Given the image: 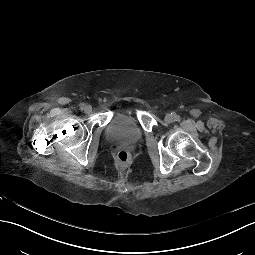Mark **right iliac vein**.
<instances>
[{"label": "right iliac vein", "instance_id": "obj_1", "mask_svg": "<svg viewBox=\"0 0 255 255\" xmlns=\"http://www.w3.org/2000/svg\"><path fill=\"white\" fill-rule=\"evenodd\" d=\"M84 112L86 114H89L92 112V107L90 105H86L85 108H84Z\"/></svg>", "mask_w": 255, "mask_h": 255}]
</instances>
